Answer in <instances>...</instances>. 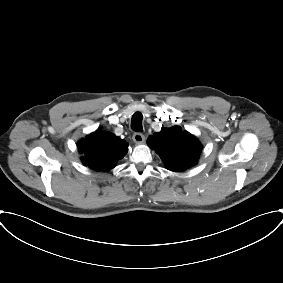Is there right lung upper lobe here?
I'll return each mask as SVG.
<instances>
[{"instance_id":"obj_1","label":"right lung upper lobe","mask_w":283,"mask_h":283,"mask_svg":"<svg viewBox=\"0 0 283 283\" xmlns=\"http://www.w3.org/2000/svg\"><path fill=\"white\" fill-rule=\"evenodd\" d=\"M79 151L83 153L82 162L97 171H107L128 151V143L115 134L99 131L82 139Z\"/></svg>"}]
</instances>
